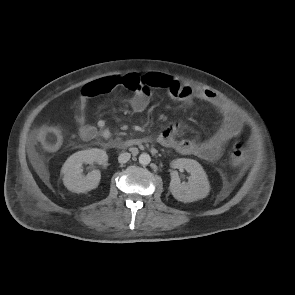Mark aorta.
I'll return each mask as SVG.
<instances>
[{"label": "aorta", "mask_w": 295, "mask_h": 295, "mask_svg": "<svg viewBox=\"0 0 295 295\" xmlns=\"http://www.w3.org/2000/svg\"><path fill=\"white\" fill-rule=\"evenodd\" d=\"M151 161V157L149 154L147 153H142L140 156H139V163L141 165H148Z\"/></svg>", "instance_id": "aorta-1"}]
</instances>
